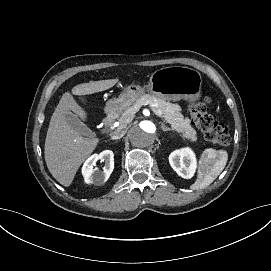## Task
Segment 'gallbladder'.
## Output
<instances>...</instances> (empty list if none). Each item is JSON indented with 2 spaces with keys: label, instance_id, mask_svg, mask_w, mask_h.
<instances>
[{
  "label": "gallbladder",
  "instance_id": "obj_1",
  "mask_svg": "<svg viewBox=\"0 0 271 271\" xmlns=\"http://www.w3.org/2000/svg\"><path fill=\"white\" fill-rule=\"evenodd\" d=\"M66 118H67L68 124L74 131L80 132L82 134L88 133V130H86L85 124L75 114H73L72 112H69L66 114Z\"/></svg>",
  "mask_w": 271,
  "mask_h": 271
}]
</instances>
